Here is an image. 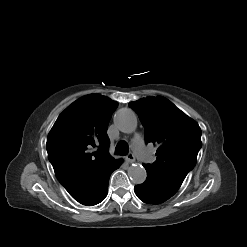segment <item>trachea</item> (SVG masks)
Wrapping results in <instances>:
<instances>
[{"instance_id": "3493384b", "label": "trachea", "mask_w": 247, "mask_h": 247, "mask_svg": "<svg viewBox=\"0 0 247 247\" xmlns=\"http://www.w3.org/2000/svg\"><path fill=\"white\" fill-rule=\"evenodd\" d=\"M128 151H129V146L127 142L125 141L118 142V144L116 145V149H115V153L117 155H126Z\"/></svg>"}]
</instances>
